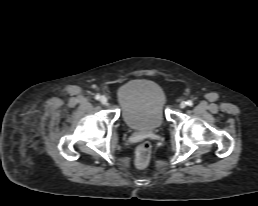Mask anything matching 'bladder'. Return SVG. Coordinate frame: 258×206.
Instances as JSON below:
<instances>
[{
    "label": "bladder",
    "instance_id": "obj_1",
    "mask_svg": "<svg viewBox=\"0 0 258 206\" xmlns=\"http://www.w3.org/2000/svg\"><path fill=\"white\" fill-rule=\"evenodd\" d=\"M116 98L123 122L133 130L152 131L165 121V95L151 80H132L121 85Z\"/></svg>",
    "mask_w": 258,
    "mask_h": 206
}]
</instances>
